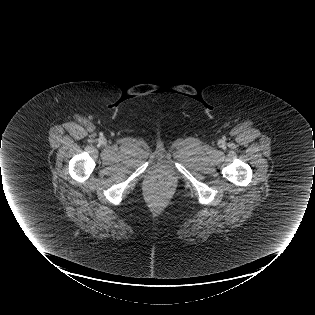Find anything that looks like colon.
Listing matches in <instances>:
<instances>
[{
  "mask_svg": "<svg viewBox=\"0 0 315 315\" xmlns=\"http://www.w3.org/2000/svg\"><path fill=\"white\" fill-rule=\"evenodd\" d=\"M153 193H154V196L158 197V198L163 195V191L161 189H156V190H154Z\"/></svg>",
  "mask_w": 315,
  "mask_h": 315,
  "instance_id": "5ec220e1",
  "label": "colon"
}]
</instances>
